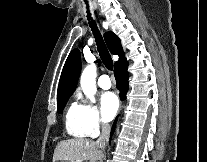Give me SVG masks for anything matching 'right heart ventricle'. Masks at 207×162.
<instances>
[{"mask_svg": "<svg viewBox=\"0 0 207 162\" xmlns=\"http://www.w3.org/2000/svg\"><path fill=\"white\" fill-rule=\"evenodd\" d=\"M65 128L69 135L76 138L89 136L85 125L84 105L73 101L70 103L65 114Z\"/></svg>", "mask_w": 207, "mask_h": 162, "instance_id": "1", "label": "right heart ventricle"}]
</instances>
